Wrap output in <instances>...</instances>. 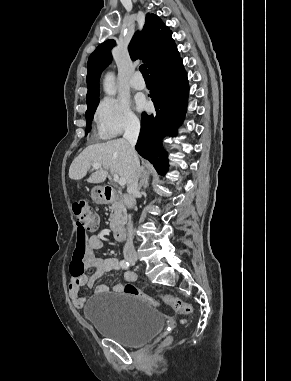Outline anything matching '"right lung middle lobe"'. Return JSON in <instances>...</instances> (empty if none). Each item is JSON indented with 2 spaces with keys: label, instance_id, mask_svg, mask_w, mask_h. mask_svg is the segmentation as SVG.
Segmentation results:
<instances>
[{
  "label": "right lung middle lobe",
  "instance_id": "dd1d6c3e",
  "mask_svg": "<svg viewBox=\"0 0 291 381\" xmlns=\"http://www.w3.org/2000/svg\"><path fill=\"white\" fill-rule=\"evenodd\" d=\"M98 103H99V99L91 102L90 104H87L88 108H87V111L85 113V116H86V121H87V125H86V133H88L91 129V120L93 118V114L98 106Z\"/></svg>",
  "mask_w": 291,
  "mask_h": 381
}]
</instances>
